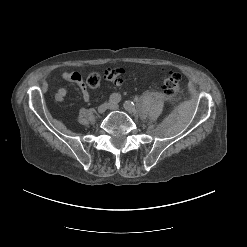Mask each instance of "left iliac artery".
<instances>
[{
  "label": "left iliac artery",
  "instance_id": "44dca946",
  "mask_svg": "<svg viewBox=\"0 0 247 247\" xmlns=\"http://www.w3.org/2000/svg\"><path fill=\"white\" fill-rule=\"evenodd\" d=\"M134 102L132 101H125L124 102V108L126 110H128V112L131 114V115H134L136 113V107L134 106Z\"/></svg>",
  "mask_w": 247,
  "mask_h": 247
}]
</instances>
